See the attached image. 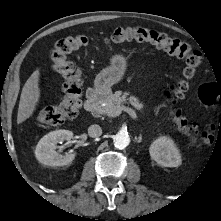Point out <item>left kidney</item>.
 <instances>
[{
  "mask_svg": "<svg viewBox=\"0 0 221 221\" xmlns=\"http://www.w3.org/2000/svg\"><path fill=\"white\" fill-rule=\"evenodd\" d=\"M149 153L153 160L164 167H178L182 161L174 141L167 136L156 139L151 144Z\"/></svg>",
  "mask_w": 221,
  "mask_h": 221,
  "instance_id": "left-kidney-1",
  "label": "left kidney"
}]
</instances>
